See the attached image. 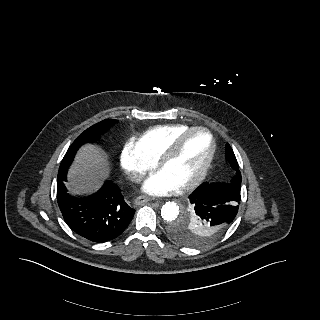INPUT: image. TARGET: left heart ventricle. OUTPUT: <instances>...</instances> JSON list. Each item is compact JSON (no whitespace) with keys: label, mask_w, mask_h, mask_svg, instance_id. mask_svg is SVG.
I'll list each match as a JSON object with an SVG mask.
<instances>
[{"label":"left heart ventricle","mask_w":320,"mask_h":320,"mask_svg":"<svg viewBox=\"0 0 320 320\" xmlns=\"http://www.w3.org/2000/svg\"><path fill=\"white\" fill-rule=\"evenodd\" d=\"M209 146L206 134L190 136L184 141L178 154L160 172L179 187L199 172L208 155Z\"/></svg>","instance_id":"obj_1"}]
</instances>
